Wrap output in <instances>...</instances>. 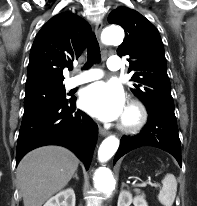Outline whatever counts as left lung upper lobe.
Segmentation results:
<instances>
[{
	"label": "left lung upper lobe",
	"instance_id": "left-lung-upper-lobe-1",
	"mask_svg": "<svg viewBox=\"0 0 197 206\" xmlns=\"http://www.w3.org/2000/svg\"><path fill=\"white\" fill-rule=\"evenodd\" d=\"M110 24L120 25L125 39L118 55H128L129 72L134 82L132 92L147 110L165 109L174 112L171 85L167 75L164 46L156 27L144 16L127 7H119L108 16Z\"/></svg>",
	"mask_w": 197,
	"mask_h": 206
}]
</instances>
